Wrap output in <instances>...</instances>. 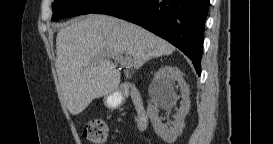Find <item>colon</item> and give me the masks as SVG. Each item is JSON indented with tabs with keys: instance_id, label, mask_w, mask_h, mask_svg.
Instances as JSON below:
<instances>
[{
	"instance_id": "5ec220e1",
	"label": "colon",
	"mask_w": 273,
	"mask_h": 144,
	"mask_svg": "<svg viewBox=\"0 0 273 144\" xmlns=\"http://www.w3.org/2000/svg\"><path fill=\"white\" fill-rule=\"evenodd\" d=\"M83 136L91 143L103 144L107 142V125L102 119H91L83 127Z\"/></svg>"
}]
</instances>
